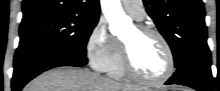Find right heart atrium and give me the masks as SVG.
I'll return each instance as SVG.
<instances>
[{"mask_svg": "<svg viewBox=\"0 0 220 91\" xmlns=\"http://www.w3.org/2000/svg\"><path fill=\"white\" fill-rule=\"evenodd\" d=\"M119 52V42L109 34L101 19L89 32L85 42V53L90 66L100 72L109 70Z\"/></svg>", "mask_w": 220, "mask_h": 91, "instance_id": "d8ad5b80", "label": "right heart atrium"}]
</instances>
